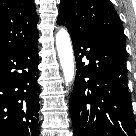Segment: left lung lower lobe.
<instances>
[{"mask_svg": "<svg viewBox=\"0 0 136 136\" xmlns=\"http://www.w3.org/2000/svg\"><path fill=\"white\" fill-rule=\"evenodd\" d=\"M70 36L77 69L70 98L73 136H134L125 48L105 38Z\"/></svg>", "mask_w": 136, "mask_h": 136, "instance_id": "left-lung-lower-lobe-1", "label": "left lung lower lobe"}]
</instances>
